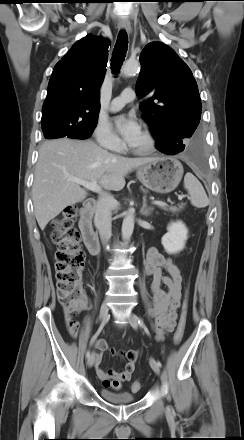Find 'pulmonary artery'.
I'll list each match as a JSON object with an SVG mask.
<instances>
[{
	"mask_svg": "<svg viewBox=\"0 0 244 440\" xmlns=\"http://www.w3.org/2000/svg\"><path fill=\"white\" fill-rule=\"evenodd\" d=\"M134 97L135 93L133 90H124L119 97L111 101L109 105V110L112 112L119 111L125 106V104L132 102L134 100Z\"/></svg>",
	"mask_w": 244,
	"mask_h": 440,
	"instance_id": "obj_1",
	"label": "pulmonary artery"
}]
</instances>
